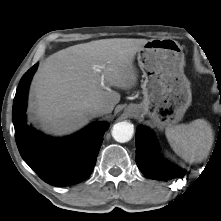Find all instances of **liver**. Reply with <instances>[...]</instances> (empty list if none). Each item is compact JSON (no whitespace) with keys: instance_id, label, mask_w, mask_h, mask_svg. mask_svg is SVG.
Here are the masks:
<instances>
[{"instance_id":"1","label":"liver","mask_w":221,"mask_h":221,"mask_svg":"<svg viewBox=\"0 0 221 221\" xmlns=\"http://www.w3.org/2000/svg\"><path fill=\"white\" fill-rule=\"evenodd\" d=\"M149 40L113 38L77 44L50 55L35 74L29 112L48 134H69L91 119L90 105L111 113L120 94L109 86L130 89L136 84V53ZM102 78L109 86H102Z\"/></svg>"}]
</instances>
